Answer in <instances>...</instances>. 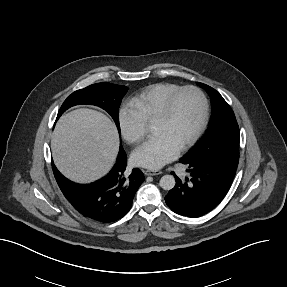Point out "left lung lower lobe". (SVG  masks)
I'll return each instance as SVG.
<instances>
[{
	"mask_svg": "<svg viewBox=\"0 0 287 287\" xmlns=\"http://www.w3.org/2000/svg\"><path fill=\"white\" fill-rule=\"evenodd\" d=\"M190 178L181 180L171 172L176 185L165 196L168 207L177 214L200 217L214 209L225 197L237 166L220 162L180 161Z\"/></svg>",
	"mask_w": 287,
	"mask_h": 287,
	"instance_id": "0a47b994",
	"label": "left lung lower lobe"
}]
</instances>
